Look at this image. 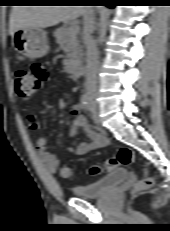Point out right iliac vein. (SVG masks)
<instances>
[{"label":"right iliac vein","instance_id":"63e3f726","mask_svg":"<svg viewBox=\"0 0 170 231\" xmlns=\"http://www.w3.org/2000/svg\"><path fill=\"white\" fill-rule=\"evenodd\" d=\"M88 98H89L90 102L92 103L93 100H94V96L91 95V96H89ZM91 111H92L93 113H96V112H97V106L94 105V104H92V105H91Z\"/></svg>","mask_w":170,"mask_h":231}]
</instances>
